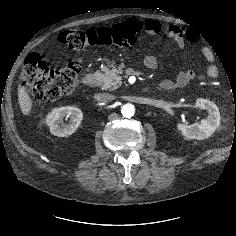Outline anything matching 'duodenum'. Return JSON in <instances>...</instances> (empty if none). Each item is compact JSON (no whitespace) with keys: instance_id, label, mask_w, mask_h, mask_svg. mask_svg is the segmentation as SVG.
<instances>
[{"instance_id":"410a0bca","label":"duodenum","mask_w":236,"mask_h":236,"mask_svg":"<svg viewBox=\"0 0 236 236\" xmlns=\"http://www.w3.org/2000/svg\"><path fill=\"white\" fill-rule=\"evenodd\" d=\"M97 83V76L95 73H89L84 76L83 84L87 87H93Z\"/></svg>"}]
</instances>
